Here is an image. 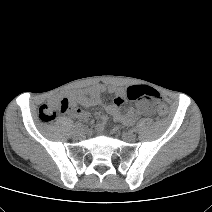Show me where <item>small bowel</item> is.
<instances>
[{
	"label": "small bowel",
	"instance_id": "small-bowel-1",
	"mask_svg": "<svg viewBox=\"0 0 212 212\" xmlns=\"http://www.w3.org/2000/svg\"><path fill=\"white\" fill-rule=\"evenodd\" d=\"M105 92L113 94L114 100L111 104L105 106V110L110 114L115 120L126 124H133L140 116L149 115L152 112L151 106L145 102L140 101L137 103L136 108L129 109L125 113L122 112L126 101V91L116 87V86H106L104 84H95L84 91L72 92L69 94V104L71 108V114L84 122H88L90 119V114L78 108V105L83 107H93L102 104L101 95ZM106 123V118L103 117L100 122V128H102Z\"/></svg>",
	"mask_w": 212,
	"mask_h": 212
}]
</instances>
